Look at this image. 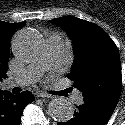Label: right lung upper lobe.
I'll return each mask as SVG.
<instances>
[{
  "label": "right lung upper lobe",
  "mask_w": 125,
  "mask_h": 125,
  "mask_svg": "<svg viewBox=\"0 0 125 125\" xmlns=\"http://www.w3.org/2000/svg\"><path fill=\"white\" fill-rule=\"evenodd\" d=\"M25 22L7 23L0 21V81L7 78L8 61L10 56V41L13 32L23 26ZM3 91L0 89V93Z\"/></svg>",
  "instance_id": "cb5924a9"
}]
</instances>
